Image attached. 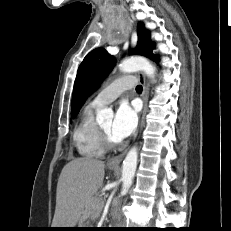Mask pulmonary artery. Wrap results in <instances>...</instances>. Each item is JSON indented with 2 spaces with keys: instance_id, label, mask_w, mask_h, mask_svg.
Instances as JSON below:
<instances>
[{
  "instance_id": "pulmonary-artery-1",
  "label": "pulmonary artery",
  "mask_w": 231,
  "mask_h": 231,
  "mask_svg": "<svg viewBox=\"0 0 231 231\" xmlns=\"http://www.w3.org/2000/svg\"><path fill=\"white\" fill-rule=\"evenodd\" d=\"M135 83L136 79L132 75L121 77L103 88L90 105L97 108L105 106L119 97L124 90L133 88Z\"/></svg>"
}]
</instances>
